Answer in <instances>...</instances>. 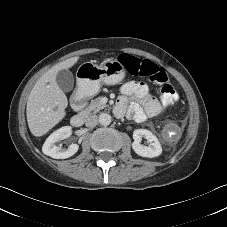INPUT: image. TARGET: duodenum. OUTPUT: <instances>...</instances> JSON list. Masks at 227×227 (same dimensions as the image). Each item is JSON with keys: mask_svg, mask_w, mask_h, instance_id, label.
Returning <instances> with one entry per match:
<instances>
[{"mask_svg": "<svg viewBox=\"0 0 227 227\" xmlns=\"http://www.w3.org/2000/svg\"><path fill=\"white\" fill-rule=\"evenodd\" d=\"M84 92H85V85L79 84L70 102L72 108L77 111V113H75L70 119L71 125L76 128L81 127L84 123L85 116L81 112V110L84 108L86 104V98L84 96Z\"/></svg>", "mask_w": 227, "mask_h": 227, "instance_id": "1", "label": "duodenum"}]
</instances>
